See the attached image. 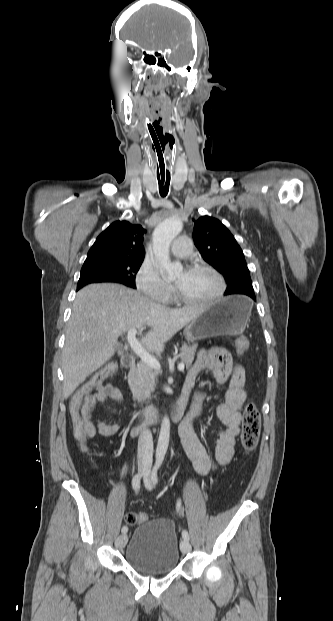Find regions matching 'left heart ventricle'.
I'll return each instance as SVG.
<instances>
[{"label":"left heart ventricle","mask_w":333,"mask_h":621,"mask_svg":"<svg viewBox=\"0 0 333 621\" xmlns=\"http://www.w3.org/2000/svg\"><path fill=\"white\" fill-rule=\"evenodd\" d=\"M177 289L186 297L203 300L212 297L219 288L216 277L208 271H180L174 278Z\"/></svg>","instance_id":"left-heart-ventricle-1"}]
</instances>
